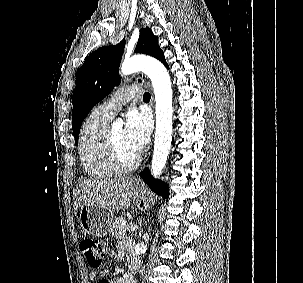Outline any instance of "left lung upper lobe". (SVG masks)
Masks as SVG:
<instances>
[{
    "mask_svg": "<svg viewBox=\"0 0 303 283\" xmlns=\"http://www.w3.org/2000/svg\"><path fill=\"white\" fill-rule=\"evenodd\" d=\"M124 48L125 39L115 46L101 47L89 55L78 71L72 100V129L76 144L82 122L90 110L120 84L118 70ZM135 52L167 64L157 36L148 27L140 30Z\"/></svg>",
    "mask_w": 303,
    "mask_h": 283,
    "instance_id": "5c2ea615",
    "label": "left lung upper lobe"
}]
</instances>
